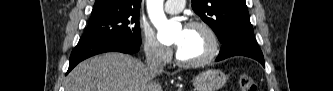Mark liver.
<instances>
[{
    "instance_id": "liver-1",
    "label": "liver",
    "mask_w": 333,
    "mask_h": 91,
    "mask_svg": "<svg viewBox=\"0 0 333 91\" xmlns=\"http://www.w3.org/2000/svg\"><path fill=\"white\" fill-rule=\"evenodd\" d=\"M157 76L137 58L106 53L78 64L67 76L65 91H162Z\"/></svg>"
}]
</instances>
